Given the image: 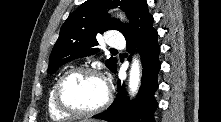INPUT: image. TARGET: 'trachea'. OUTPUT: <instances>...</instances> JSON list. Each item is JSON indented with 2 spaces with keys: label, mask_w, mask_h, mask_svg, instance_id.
<instances>
[{
  "label": "trachea",
  "mask_w": 221,
  "mask_h": 122,
  "mask_svg": "<svg viewBox=\"0 0 221 122\" xmlns=\"http://www.w3.org/2000/svg\"><path fill=\"white\" fill-rule=\"evenodd\" d=\"M111 51H116L115 49H111Z\"/></svg>",
  "instance_id": "3493384b"
}]
</instances>
